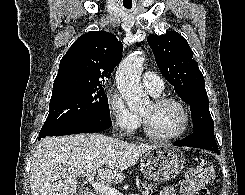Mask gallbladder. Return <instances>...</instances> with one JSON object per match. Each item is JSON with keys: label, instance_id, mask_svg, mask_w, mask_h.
Instances as JSON below:
<instances>
[{"label": "gallbladder", "instance_id": "obj_1", "mask_svg": "<svg viewBox=\"0 0 245 195\" xmlns=\"http://www.w3.org/2000/svg\"><path fill=\"white\" fill-rule=\"evenodd\" d=\"M85 192L86 191L84 190V188L81 187V188H79V190H78L76 195H86Z\"/></svg>", "mask_w": 245, "mask_h": 195}]
</instances>
